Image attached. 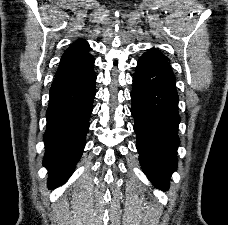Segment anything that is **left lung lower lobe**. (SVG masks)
I'll use <instances>...</instances> for the list:
<instances>
[{"label":"left lung lower lobe","instance_id":"0a47b994","mask_svg":"<svg viewBox=\"0 0 228 225\" xmlns=\"http://www.w3.org/2000/svg\"><path fill=\"white\" fill-rule=\"evenodd\" d=\"M168 61L149 55L139 59L133 77L131 113L143 171L153 184L167 190L177 168L179 97Z\"/></svg>","mask_w":228,"mask_h":225}]
</instances>
